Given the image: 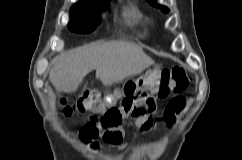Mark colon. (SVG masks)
<instances>
[{"label":"colon","instance_id":"1","mask_svg":"<svg viewBox=\"0 0 242 160\" xmlns=\"http://www.w3.org/2000/svg\"><path fill=\"white\" fill-rule=\"evenodd\" d=\"M187 71L180 66L169 69H153L137 79L125 83L121 93H113L104 98L96 90H86L72 99L63 98L62 109L66 116L74 113H91L88 121L80 129L84 140H94L119 126L125 115L133 118H147L153 122L155 97H167L172 93L179 94L187 90L190 84ZM122 95L119 107L105 106L111 104ZM185 106L182 96L174 97L167 106L166 116L180 112ZM102 112L100 116L94 114Z\"/></svg>","mask_w":242,"mask_h":160}]
</instances>
